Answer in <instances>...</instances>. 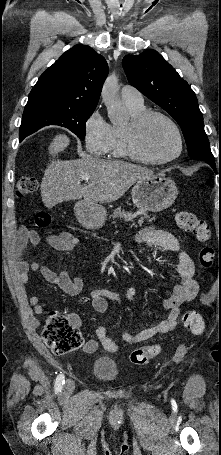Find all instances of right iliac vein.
<instances>
[{"mask_svg": "<svg viewBox=\"0 0 221 455\" xmlns=\"http://www.w3.org/2000/svg\"><path fill=\"white\" fill-rule=\"evenodd\" d=\"M74 390V381L71 379H68L65 382L64 388H63V396H67L71 394Z\"/></svg>", "mask_w": 221, "mask_h": 455, "instance_id": "right-iliac-vein-1", "label": "right iliac vein"}]
</instances>
